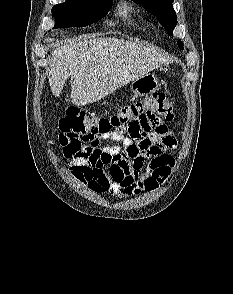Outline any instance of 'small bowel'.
<instances>
[{
	"instance_id": "1",
	"label": "small bowel",
	"mask_w": 233,
	"mask_h": 294,
	"mask_svg": "<svg viewBox=\"0 0 233 294\" xmlns=\"http://www.w3.org/2000/svg\"><path fill=\"white\" fill-rule=\"evenodd\" d=\"M133 115L121 120L125 137L117 133L111 138L119 146L71 160L68 170L74 179L95 193L127 198L154 190L168 178L175 161L166 151L175 149L177 141L167 117L160 110H133Z\"/></svg>"
}]
</instances>
